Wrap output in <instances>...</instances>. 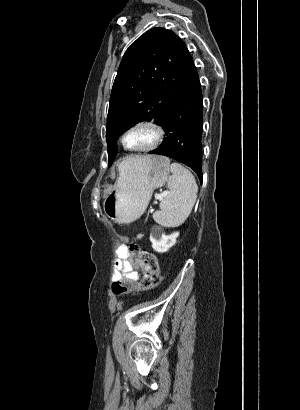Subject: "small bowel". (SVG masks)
<instances>
[{"label":"small bowel","mask_w":300,"mask_h":410,"mask_svg":"<svg viewBox=\"0 0 300 410\" xmlns=\"http://www.w3.org/2000/svg\"><path fill=\"white\" fill-rule=\"evenodd\" d=\"M136 268L137 265L132 262L128 249L125 246H120L117 250L116 273L114 279H129L132 282H136L140 278V274Z\"/></svg>","instance_id":"obj_1"}]
</instances>
